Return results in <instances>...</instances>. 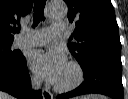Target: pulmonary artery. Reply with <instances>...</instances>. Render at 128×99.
<instances>
[{
	"label": "pulmonary artery",
	"mask_w": 128,
	"mask_h": 99,
	"mask_svg": "<svg viewBox=\"0 0 128 99\" xmlns=\"http://www.w3.org/2000/svg\"><path fill=\"white\" fill-rule=\"evenodd\" d=\"M66 30L64 22H55L49 28H43L30 33L23 32L15 41L16 47L39 46L51 41Z\"/></svg>",
	"instance_id": "obj_1"
}]
</instances>
